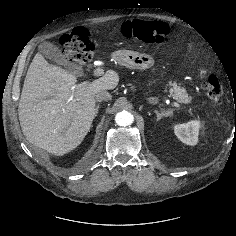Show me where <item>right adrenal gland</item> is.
Wrapping results in <instances>:
<instances>
[{"mask_svg":"<svg viewBox=\"0 0 236 236\" xmlns=\"http://www.w3.org/2000/svg\"><path fill=\"white\" fill-rule=\"evenodd\" d=\"M99 109V105H97V107H96V110H98Z\"/></svg>","mask_w":236,"mask_h":236,"instance_id":"1","label":"right adrenal gland"}]
</instances>
